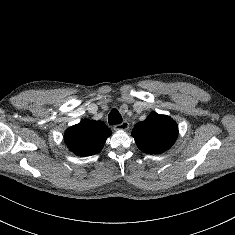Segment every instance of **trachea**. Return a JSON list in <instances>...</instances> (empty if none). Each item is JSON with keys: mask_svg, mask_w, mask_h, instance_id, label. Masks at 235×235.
<instances>
[{"mask_svg": "<svg viewBox=\"0 0 235 235\" xmlns=\"http://www.w3.org/2000/svg\"><path fill=\"white\" fill-rule=\"evenodd\" d=\"M108 122L110 125L122 123V116L117 109H113L108 115Z\"/></svg>", "mask_w": 235, "mask_h": 235, "instance_id": "3493384b", "label": "trachea"}]
</instances>
